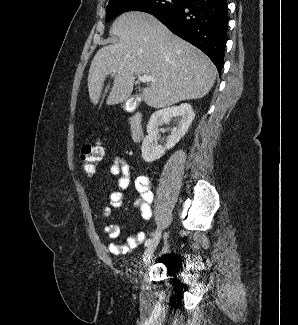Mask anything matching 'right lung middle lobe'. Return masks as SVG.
Returning a JSON list of instances; mask_svg holds the SVG:
<instances>
[{"mask_svg":"<svg viewBox=\"0 0 298 325\" xmlns=\"http://www.w3.org/2000/svg\"><path fill=\"white\" fill-rule=\"evenodd\" d=\"M186 0H113L106 8L105 22L127 11H143L157 15L181 7Z\"/></svg>","mask_w":298,"mask_h":325,"instance_id":"1","label":"right lung middle lobe"}]
</instances>
